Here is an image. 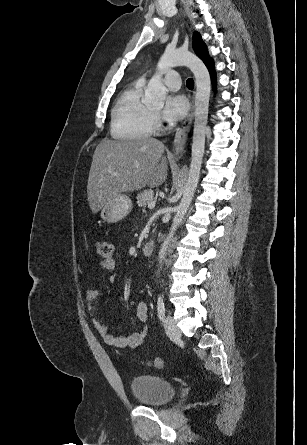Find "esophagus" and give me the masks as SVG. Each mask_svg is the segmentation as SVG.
I'll use <instances>...</instances> for the list:
<instances>
[{
	"instance_id": "1",
	"label": "esophagus",
	"mask_w": 307,
	"mask_h": 445,
	"mask_svg": "<svg viewBox=\"0 0 307 445\" xmlns=\"http://www.w3.org/2000/svg\"><path fill=\"white\" fill-rule=\"evenodd\" d=\"M194 97L192 96L191 110L182 124L177 128L172 145V154L177 158H181L185 153V144L194 120Z\"/></svg>"
}]
</instances>
